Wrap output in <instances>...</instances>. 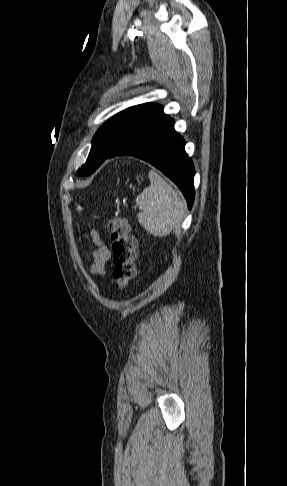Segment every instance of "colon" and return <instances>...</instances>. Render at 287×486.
Here are the masks:
<instances>
[{"label":"colon","instance_id":"obj_1","mask_svg":"<svg viewBox=\"0 0 287 486\" xmlns=\"http://www.w3.org/2000/svg\"><path fill=\"white\" fill-rule=\"evenodd\" d=\"M107 228L112 240L113 282L117 288L123 289L135 276L137 240L130 234V227L124 219L108 220Z\"/></svg>","mask_w":287,"mask_h":486}]
</instances>
